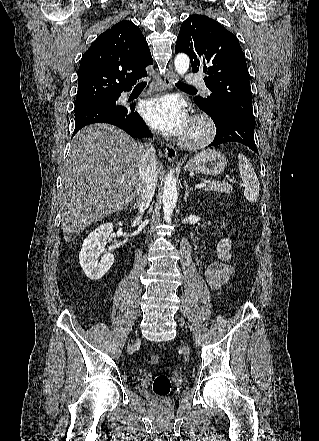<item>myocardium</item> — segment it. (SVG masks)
Instances as JSON below:
<instances>
[{"mask_svg": "<svg viewBox=\"0 0 319 441\" xmlns=\"http://www.w3.org/2000/svg\"><path fill=\"white\" fill-rule=\"evenodd\" d=\"M215 133L214 121L209 116L200 114L192 120L187 132L181 139V144L186 148H200L212 141Z\"/></svg>", "mask_w": 319, "mask_h": 441, "instance_id": "1", "label": "myocardium"}]
</instances>
